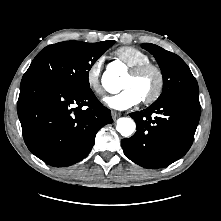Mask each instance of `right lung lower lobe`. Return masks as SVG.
<instances>
[{
    "instance_id": "obj_1",
    "label": "right lung lower lobe",
    "mask_w": 221,
    "mask_h": 221,
    "mask_svg": "<svg viewBox=\"0 0 221 221\" xmlns=\"http://www.w3.org/2000/svg\"><path fill=\"white\" fill-rule=\"evenodd\" d=\"M17 112L28 149L55 167L85 158L97 131L113 122L90 88L44 79L21 81Z\"/></svg>"
}]
</instances>
